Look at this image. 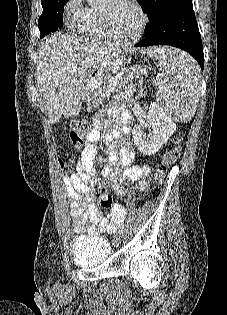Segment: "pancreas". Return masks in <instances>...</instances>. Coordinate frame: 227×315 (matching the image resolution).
<instances>
[{"mask_svg": "<svg viewBox=\"0 0 227 315\" xmlns=\"http://www.w3.org/2000/svg\"><path fill=\"white\" fill-rule=\"evenodd\" d=\"M146 73V69L139 65H133L130 68L123 69L119 76L116 85H111L112 80L116 76L106 75L103 79L101 78H90L88 80L89 99L93 101V104L98 106L102 103L103 98L106 97V92L111 88L110 93L120 91L123 86L129 82L138 80L141 75Z\"/></svg>", "mask_w": 227, "mask_h": 315, "instance_id": "cf45deb5", "label": "pancreas"}]
</instances>
